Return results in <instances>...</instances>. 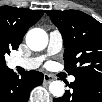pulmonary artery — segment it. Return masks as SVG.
Wrapping results in <instances>:
<instances>
[{
    "mask_svg": "<svg viewBox=\"0 0 102 102\" xmlns=\"http://www.w3.org/2000/svg\"><path fill=\"white\" fill-rule=\"evenodd\" d=\"M63 48V37L59 30H53L49 34L48 40V52L50 54H56L60 52ZM42 59H17V64L21 66H31V65H40ZM75 77L70 76L69 81L73 82Z\"/></svg>",
    "mask_w": 102,
    "mask_h": 102,
    "instance_id": "e3ab8cb5",
    "label": "pulmonary artery"
}]
</instances>
